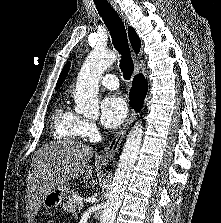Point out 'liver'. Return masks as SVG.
<instances>
[{
  "label": "liver",
  "instance_id": "obj_1",
  "mask_svg": "<svg viewBox=\"0 0 221 223\" xmlns=\"http://www.w3.org/2000/svg\"><path fill=\"white\" fill-rule=\"evenodd\" d=\"M92 147L72 140L50 142L35 153L27 178V219L32 223L43 198L55 187L84 175L83 181L92 177L93 168L85 171L93 156Z\"/></svg>",
  "mask_w": 221,
  "mask_h": 223
}]
</instances>
